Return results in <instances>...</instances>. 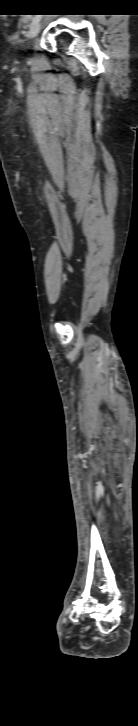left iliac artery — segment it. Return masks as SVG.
<instances>
[{"label":"left iliac artery","instance_id":"left-iliac-artery-1","mask_svg":"<svg viewBox=\"0 0 138 726\" xmlns=\"http://www.w3.org/2000/svg\"><path fill=\"white\" fill-rule=\"evenodd\" d=\"M39 20H40V17L39 16H34L32 18V24L38 22Z\"/></svg>","mask_w":138,"mask_h":726}]
</instances>
